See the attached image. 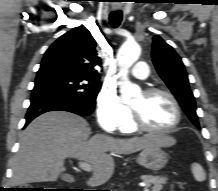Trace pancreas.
<instances>
[{
	"label": "pancreas",
	"mask_w": 218,
	"mask_h": 191,
	"mask_svg": "<svg viewBox=\"0 0 218 191\" xmlns=\"http://www.w3.org/2000/svg\"><path fill=\"white\" fill-rule=\"evenodd\" d=\"M141 179L147 186H152V191H160L163 188V185L167 182V177L160 176L144 175Z\"/></svg>",
	"instance_id": "1"
}]
</instances>
